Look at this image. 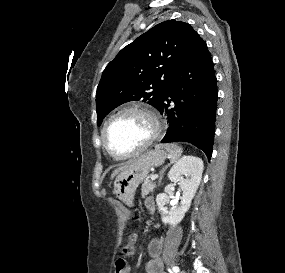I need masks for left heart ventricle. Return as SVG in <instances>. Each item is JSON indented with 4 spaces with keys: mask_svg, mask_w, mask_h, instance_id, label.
Masks as SVG:
<instances>
[{
    "mask_svg": "<svg viewBox=\"0 0 285 273\" xmlns=\"http://www.w3.org/2000/svg\"><path fill=\"white\" fill-rule=\"evenodd\" d=\"M152 134L149 119L136 112L118 116L107 131L109 146L118 153H128L142 145Z\"/></svg>",
    "mask_w": 285,
    "mask_h": 273,
    "instance_id": "left-heart-ventricle-1",
    "label": "left heart ventricle"
}]
</instances>
